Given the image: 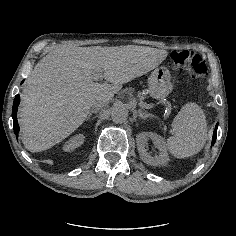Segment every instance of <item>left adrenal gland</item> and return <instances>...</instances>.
Masks as SVG:
<instances>
[{"label": "left adrenal gland", "mask_w": 236, "mask_h": 236, "mask_svg": "<svg viewBox=\"0 0 236 236\" xmlns=\"http://www.w3.org/2000/svg\"><path fill=\"white\" fill-rule=\"evenodd\" d=\"M139 116L143 121L149 119V118H154L155 116L152 114H149L147 112L142 111L141 109L138 111Z\"/></svg>", "instance_id": "left-adrenal-gland-1"}]
</instances>
